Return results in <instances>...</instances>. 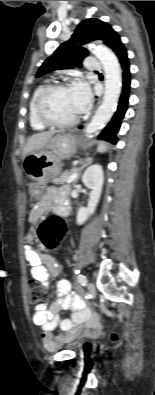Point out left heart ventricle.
<instances>
[{"label": "left heart ventricle", "mask_w": 155, "mask_h": 395, "mask_svg": "<svg viewBox=\"0 0 155 395\" xmlns=\"http://www.w3.org/2000/svg\"><path fill=\"white\" fill-rule=\"evenodd\" d=\"M45 113L53 120L67 122L78 116L71 88L51 93L44 103Z\"/></svg>", "instance_id": "1"}]
</instances>
